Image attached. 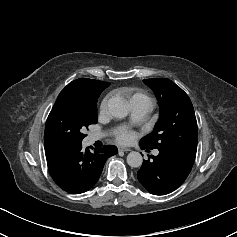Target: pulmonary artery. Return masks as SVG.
Here are the masks:
<instances>
[{
	"instance_id": "1",
	"label": "pulmonary artery",
	"mask_w": 237,
	"mask_h": 237,
	"mask_svg": "<svg viewBox=\"0 0 237 237\" xmlns=\"http://www.w3.org/2000/svg\"><path fill=\"white\" fill-rule=\"evenodd\" d=\"M131 109H132V113H131V120L133 123L135 124H139L142 123L145 118L147 117V115L149 114V112L152 109V104L146 101H136L133 102L131 104ZM101 136L98 134H92L90 136V139L92 141L98 140ZM154 155H158L159 151L158 150H154L153 151Z\"/></svg>"
}]
</instances>
